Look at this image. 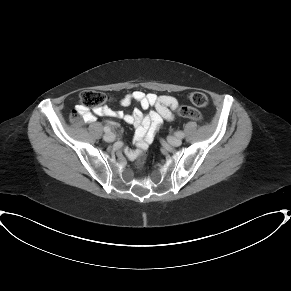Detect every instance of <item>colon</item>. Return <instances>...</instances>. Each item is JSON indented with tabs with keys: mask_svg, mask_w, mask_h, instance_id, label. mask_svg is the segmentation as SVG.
<instances>
[{
	"mask_svg": "<svg viewBox=\"0 0 291 291\" xmlns=\"http://www.w3.org/2000/svg\"><path fill=\"white\" fill-rule=\"evenodd\" d=\"M189 101L197 107H205L208 104V98L205 93L200 92V91H195L189 94L188 96ZM110 98L107 96V94L99 91V90H84L80 94V101H81V106L85 110H94L99 107H102L103 104L108 102ZM178 115L181 117H186L190 118L193 120H199L200 119V114L198 111L192 108H181L178 111ZM81 114L76 112L72 116V123L74 125H80L81 124V119H80ZM82 117V116H81ZM148 153L147 151H142L135 162V167L138 171H140L144 163L147 159Z\"/></svg>",
	"mask_w": 291,
	"mask_h": 291,
	"instance_id": "5ec220e1",
	"label": "colon"
}]
</instances>
